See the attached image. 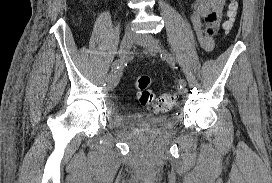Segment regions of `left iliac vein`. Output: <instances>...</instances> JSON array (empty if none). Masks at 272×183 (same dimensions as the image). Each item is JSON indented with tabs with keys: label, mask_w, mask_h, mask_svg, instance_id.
<instances>
[{
	"label": "left iliac vein",
	"mask_w": 272,
	"mask_h": 183,
	"mask_svg": "<svg viewBox=\"0 0 272 183\" xmlns=\"http://www.w3.org/2000/svg\"><path fill=\"white\" fill-rule=\"evenodd\" d=\"M136 42L139 45L145 47L149 51V53L153 56H156L160 52V45L158 40L149 34L137 36ZM179 93L185 94L186 89L185 88L179 89Z\"/></svg>",
	"instance_id": "1"
}]
</instances>
